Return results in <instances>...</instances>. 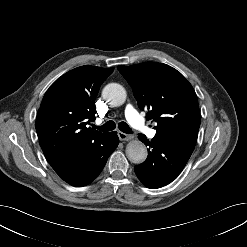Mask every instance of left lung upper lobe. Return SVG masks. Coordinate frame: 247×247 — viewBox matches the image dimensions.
<instances>
[{
  "mask_svg": "<svg viewBox=\"0 0 247 247\" xmlns=\"http://www.w3.org/2000/svg\"><path fill=\"white\" fill-rule=\"evenodd\" d=\"M118 70L131 85L139 107L147 110V119L157 122L155 137L196 144L200 127L197 96L180 72L156 62L118 66Z\"/></svg>",
  "mask_w": 247,
  "mask_h": 247,
  "instance_id": "obj_1",
  "label": "left lung upper lobe"
}]
</instances>
